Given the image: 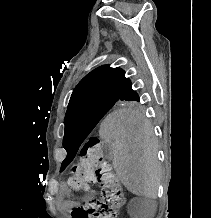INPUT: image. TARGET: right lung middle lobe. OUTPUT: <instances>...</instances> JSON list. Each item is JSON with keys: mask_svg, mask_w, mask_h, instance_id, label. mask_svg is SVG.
<instances>
[{"mask_svg": "<svg viewBox=\"0 0 211 218\" xmlns=\"http://www.w3.org/2000/svg\"><path fill=\"white\" fill-rule=\"evenodd\" d=\"M139 102V98L92 100L68 108L64 143L82 142L108 111L135 109Z\"/></svg>", "mask_w": 211, "mask_h": 218, "instance_id": "obj_1", "label": "right lung middle lobe"}]
</instances>
